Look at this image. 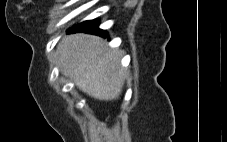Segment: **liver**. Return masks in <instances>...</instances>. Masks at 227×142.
<instances>
[{
	"instance_id": "1",
	"label": "liver",
	"mask_w": 227,
	"mask_h": 142,
	"mask_svg": "<svg viewBox=\"0 0 227 142\" xmlns=\"http://www.w3.org/2000/svg\"><path fill=\"white\" fill-rule=\"evenodd\" d=\"M58 64L63 74L75 80L89 96L111 101L117 99L128 78L127 69L119 66L120 52L107 48L98 36L72 34L57 46Z\"/></svg>"
}]
</instances>
